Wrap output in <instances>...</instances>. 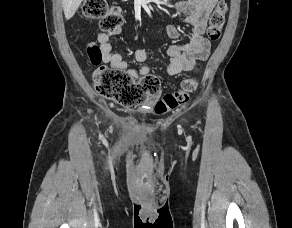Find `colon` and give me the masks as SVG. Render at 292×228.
<instances>
[{"mask_svg":"<svg viewBox=\"0 0 292 228\" xmlns=\"http://www.w3.org/2000/svg\"><path fill=\"white\" fill-rule=\"evenodd\" d=\"M228 12L225 0L215 7L211 14L207 35L212 41L220 38ZM81 15L85 19H98L101 29L106 34L120 32L124 18L119 7L108 8L106 0H85L81 7ZM86 55L93 65L102 61V51L95 43L86 47ZM92 83L99 95L125 107H135L143 104L149 97L157 95L160 90L159 79L154 75H146L139 81L126 71L108 67L98 68L92 77ZM197 88L194 78L182 81L180 89L165 94L155 105L159 114L168 112L189 101L190 94Z\"/></svg>","mask_w":292,"mask_h":228,"instance_id":"5ec220e1","label":"colon"}]
</instances>
